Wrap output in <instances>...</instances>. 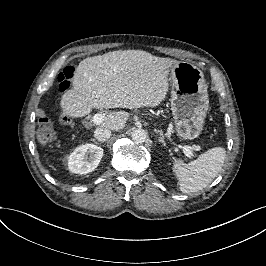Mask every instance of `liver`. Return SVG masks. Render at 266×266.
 Here are the masks:
<instances>
[{
    "instance_id": "obj_1",
    "label": "liver",
    "mask_w": 266,
    "mask_h": 266,
    "mask_svg": "<svg viewBox=\"0 0 266 266\" xmlns=\"http://www.w3.org/2000/svg\"><path fill=\"white\" fill-rule=\"evenodd\" d=\"M179 63L143 50H117L82 60L75 69L73 89L61 98L63 115L84 117L96 109L154 107L169 88L168 69ZM126 111L105 115L99 127L123 129Z\"/></svg>"
}]
</instances>
